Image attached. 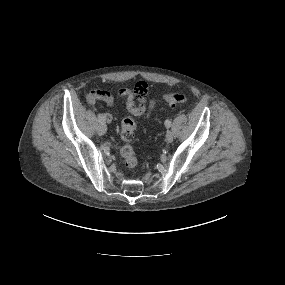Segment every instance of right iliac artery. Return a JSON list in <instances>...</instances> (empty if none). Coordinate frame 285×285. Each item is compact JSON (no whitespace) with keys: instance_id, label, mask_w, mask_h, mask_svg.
<instances>
[{"instance_id":"82829eb1","label":"right iliac artery","mask_w":285,"mask_h":285,"mask_svg":"<svg viewBox=\"0 0 285 285\" xmlns=\"http://www.w3.org/2000/svg\"><path fill=\"white\" fill-rule=\"evenodd\" d=\"M98 122L99 123H103L104 122V119H103L101 114L98 115Z\"/></svg>"}]
</instances>
